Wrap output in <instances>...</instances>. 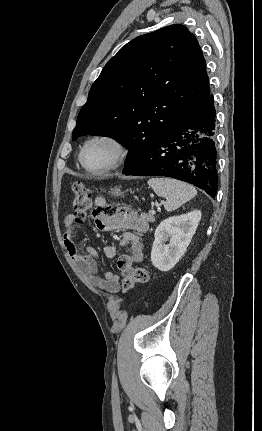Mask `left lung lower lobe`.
Here are the masks:
<instances>
[{
  "label": "left lung lower lobe",
  "instance_id": "0a47b994",
  "mask_svg": "<svg viewBox=\"0 0 262 431\" xmlns=\"http://www.w3.org/2000/svg\"><path fill=\"white\" fill-rule=\"evenodd\" d=\"M213 95L164 134L125 175L165 176L217 192V151Z\"/></svg>",
  "mask_w": 262,
  "mask_h": 431
}]
</instances>
